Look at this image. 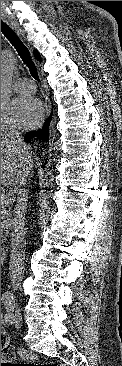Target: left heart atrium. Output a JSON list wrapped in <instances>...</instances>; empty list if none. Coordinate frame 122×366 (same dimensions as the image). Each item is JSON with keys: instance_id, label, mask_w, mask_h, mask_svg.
Segmentation results:
<instances>
[{"instance_id": "1", "label": "left heart atrium", "mask_w": 122, "mask_h": 366, "mask_svg": "<svg viewBox=\"0 0 122 366\" xmlns=\"http://www.w3.org/2000/svg\"><path fill=\"white\" fill-rule=\"evenodd\" d=\"M11 118L12 123L19 127H34L43 118L42 104L33 97H18L12 102Z\"/></svg>"}]
</instances>
